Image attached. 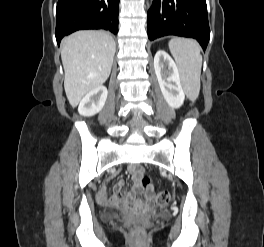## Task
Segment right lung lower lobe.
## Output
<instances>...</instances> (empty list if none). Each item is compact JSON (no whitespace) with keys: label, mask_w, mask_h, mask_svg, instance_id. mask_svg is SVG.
Returning <instances> with one entry per match:
<instances>
[{"label":"right lung lower lobe","mask_w":264,"mask_h":247,"mask_svg":"<svg viewBox=\"0 0 264 247\" xmlns=\"http://www.w3.org/2000/svg\"><path fill=\"white\" fill-rule=\"evenodd\" d=\"M119 0H59L55 36L61 39L81 29H105L118 33Z\"/></svg>","instance_id":"1"}]
</instances>
